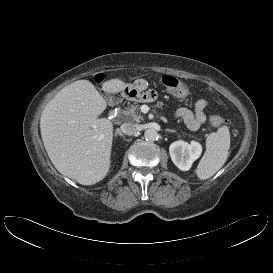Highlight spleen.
Listing matches in <instances>:
<instances>
[{"instance_id": "spleen-1", "label": "spleen", "mask_w": 273, "mask_h": 273, "mask_svg": "<svg viewBox=\"0 0 273 273\" xmlns=\"http://www.w3.org/2000/svg\"><path fill=\"white\" fill-rule=\"evenodd\" d=\"M230 148V132L227 126H221L206 139V151L201 158L196 174L200 180L212 177L225 164Z\"/></svg>"}]
</instances>
